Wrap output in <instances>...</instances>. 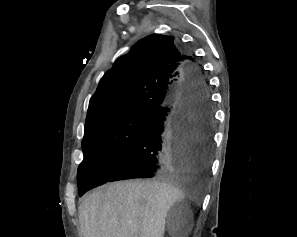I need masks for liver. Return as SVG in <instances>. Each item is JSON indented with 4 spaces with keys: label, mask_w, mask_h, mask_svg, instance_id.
I'll return each instance as SVG.
<instances>
[{
    "label": "liver",
    "mask_w": 297,
    "mask_h": 237,
    "mask_svg": "<svg viewBox=\"0 0 297 237\" xmlns=\"http://www.w3.org/2000/svg\"><path fill=\"white\" fill-rule=\"evenodd\" d=\"M187 180L118 181L94 191L79 206L84 237H163L167 213L188 195Z\"/></svg>",
    "instance_id": "6515ba94"
}]
</instances>
